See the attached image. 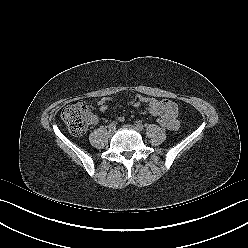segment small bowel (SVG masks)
Masks as SVG:
<instances>
[{
  "label": "small bowel",
  "instance_id": "c3829d8e",
  "mask_svg": "<svg viewBox=\"0 0 248 248\" xmlns=\"http://www.w3.org/2000/svg\"><path fill=\"white\" fill-rule=\"evenodd\" d=\"M113 98L110 96H106L101 98L98 101V106L101 112H105L108 108L107 104ZM129 104L138 108L143 113H148L155 117L165 118L169 122L168 128L171 130H176L179 127L178 116V107L176 103L170 100H157L155 98H148L142 95H136L129 99ZM142 105L146 107L141 109ZM123 120V117L119 118ZM92 122L96 123L97 118L93 117Z\"/></svg>",
  "mask_w": 248,
  "mask_h": 248
}]
</instances>
